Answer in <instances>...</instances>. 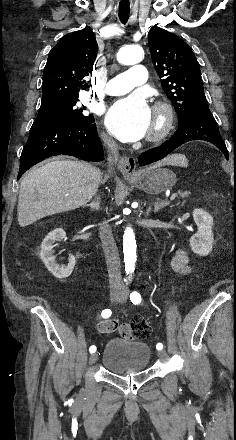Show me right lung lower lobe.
I'll return each mask as SVG.
<instances>
[{
	"mask_svg": "<svg viewBox=\"0 0 236 440\" xmlns=\"http://www.w3.org/2000/svg\"><path fill=\"white\" fill-rule=\"evenodd\" d=\"M61 154L86 161L103 160L102 143L96 124L37 117L22 150L18 179L33 165L50 156Z\"/></svg>",
	"mask_w": 236,
	"mask_h": 440,
	"instance_id": "obj_1",
	"label": "right lung lower lobe"
}]
</instances>
